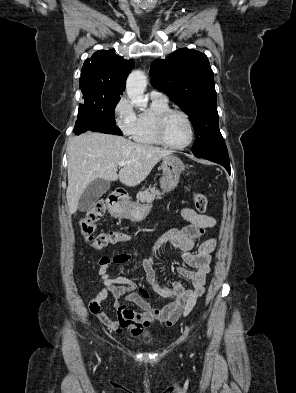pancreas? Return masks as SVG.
Wrapping results in <instances>:
<instances>
[{"label":"pancreas","mask_w":296,"mask_h":393,"mask_svg":"<svg viewBox=\"0 0 296 393\" xmlns=\"http://www.w3.org/2000/svg\"><path fill=\"white\" fill-rule=\"evenodd\" d=\"M156 196L159 198L160 192L156 190L155 187H149L145 191L137 194V200L140 202L152 203Z\"/></svg>","instance_id":"obj_1"}]
</instances>
